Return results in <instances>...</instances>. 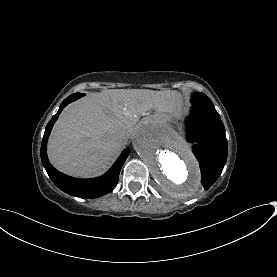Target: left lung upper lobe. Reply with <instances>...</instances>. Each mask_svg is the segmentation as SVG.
<instances>
[{"instance_id":"5c2ea615","label":"left lung upper lobe","mask_w":277,"mask_h":277,"mask_svg":"<svg viewBox=\"0 0 277 277\" xmlns=\"http://www.w3.org/2000/svg\"><path fill=\"white\" fill-rule=\"evenodd\" d=\"M192 106H202L208 108H214L212 101L203 93H195L191 99Z\"/></svg>"}]
</instances>
